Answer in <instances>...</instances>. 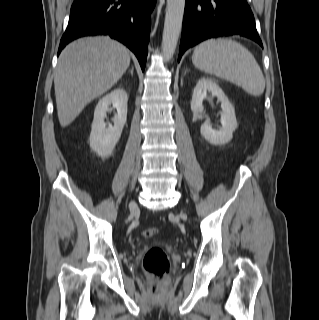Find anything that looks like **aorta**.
I'll return each instance as SVG.
<instances>
[{
  "label": "aorta",
  "instance_id": "762f6f07",
  "mask_svg": "<svg viewBox=\"0 0 319 320\" xmlns=\"http://www.w3.org/2000/svg\"><path fill=\"white\" fill-rule=\"evenodd\" d=\"M185 0H167L162 50L164 57L170 60L175 52L182 28Z\"/></svg>",
  "mask_w": 319,
  "mask_h": 320
}]
</instances>
